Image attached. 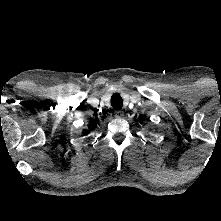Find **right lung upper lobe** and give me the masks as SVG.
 Listing matches in <instances>:
<instances>
[{
  "label": "right lung upper lobe",
  "mask_w": 221,
  "mask_h": 221,
  "mask_svg": "<svg viewBox=\"0 0 221 221\" xmlns=\"http://www.w3.org/2000/svg\"><path fill=\"white\" fill-rule=\"evenodd\" d=\"M97 124H98V120H92V121H90L89 124H88V130H84V131H83V134H84V135L89 134V131H90V130H94V129L97 127Z\"/></svg>",
  "instance_id": "1"
}]
</instances>
